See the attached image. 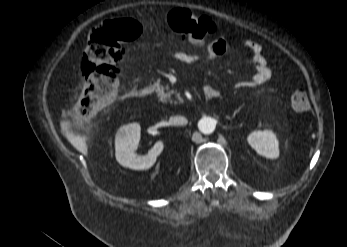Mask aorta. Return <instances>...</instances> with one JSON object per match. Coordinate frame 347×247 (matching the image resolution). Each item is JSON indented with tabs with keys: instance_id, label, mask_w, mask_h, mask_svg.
Listing matches in <instances>:
<instances>
[{
	"instance_id": "obj_1",
	"label": "aorta",
	"mask_w": 347,
	"mask_h": 247,
	"mask_svg": "<svg viewBox=\"0 0 347 247\" xmlns=\"http://www.w3.org/2000/svg\"><path fill=\"white\" fill-rule=\"evenodd\" d=\"M216 127L215 119L211 117H204L199 121V129L203 134H211L214 132Z\"/></svg>"
}]
</instances>
